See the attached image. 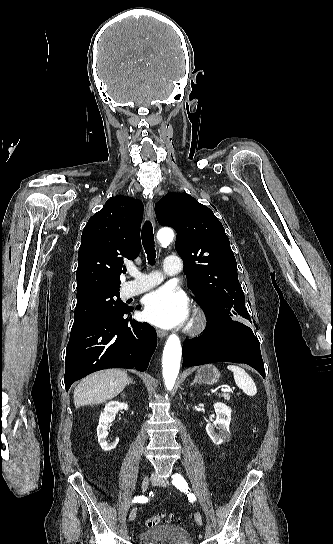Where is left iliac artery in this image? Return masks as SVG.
Returning <instances> with one entry per match:
<instances>
[{"label":"left iliac artery","instance_id":"44dca946","mask_svg":"<svg viewBox=\"0 0 333 544\" xmlns=\"http://www.w3.org/2000/svg\"><path fill=\"white\" fill-rule=\"evenodd\" d=\"M172 484L178 488L180 491H183V492H188L189 490V487H188V483L186 482V480L180 475V474H175L173 476V480H172Z\"/></svg>","mask_w":333,"mask_h":544}]
</instances>
